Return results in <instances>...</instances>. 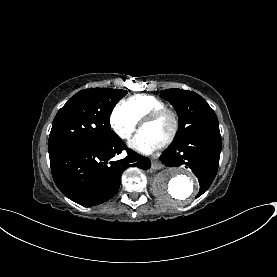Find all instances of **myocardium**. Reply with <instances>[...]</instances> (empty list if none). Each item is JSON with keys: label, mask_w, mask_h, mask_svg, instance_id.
<instances>
[{"label": "myocardium", "mask_w": 277, "mask_h": 277, "mask_svg": "<svg viewBox=\"0 0 277 277\" xmlns=\"http://www.w3.org/2000/svg\"><path fill=\"white\" fill-rule=\"evenodd\" d=\"M166 115H168L172 120V129L169 135L163 141L160 142L161 146H165L171 143L179 131L180 121L177 113L168 107L153 109L146 113V115L141 119L139 124V128L142 129L144 125L150 124Z\"/></svg>", "instance_id": "f54148a6"}]
</instances>
